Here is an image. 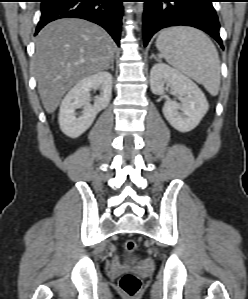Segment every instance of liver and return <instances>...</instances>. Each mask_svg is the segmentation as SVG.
Returning <instances> with one entry per match:
<instances>
[{
	"label": "liver",
	"instance_id": "6515ba94",
	"mask_svg": "<svg viewBox=\"0 0 248 299\" xmlns=\"http://www.w3.org/2000/svg\"><path fill=\"white\" fill-rule=\"evenodd\" d=\"M113 40L100 26L65 18L46 25L36 39L33 68L38 92L48 113L77 82L110 66Z\"/></svg>",
	"mask_w": 248,
	"mask_h": 299
}]
</instances>
